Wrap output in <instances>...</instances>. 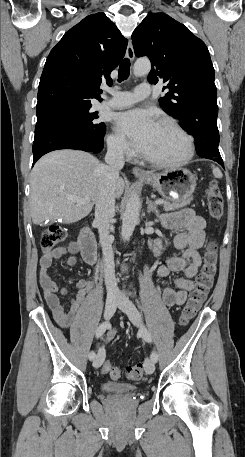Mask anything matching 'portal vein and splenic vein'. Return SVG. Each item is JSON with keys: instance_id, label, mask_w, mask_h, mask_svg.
<instances>
[{"instance_id": "18ae733b", "label": "portal vein and splenic vein", "mask_w": 245, "mask_h": 457, "mask_svg": "<svg viewBox=\"0 0 245 457\" xmlns=\"http://www.w3.org/2000/svg\"><path fill=\"white\" fill-rule=\"evenodd\" d=\"M69 200H72V202H77V204H86V202H88L87 198H80V196H70ZM155 202L156 204H161L163 200L162 198H157Z\"/></svg>"}]
</instances>
